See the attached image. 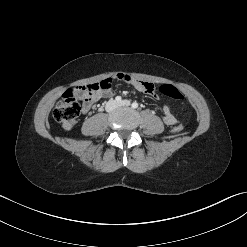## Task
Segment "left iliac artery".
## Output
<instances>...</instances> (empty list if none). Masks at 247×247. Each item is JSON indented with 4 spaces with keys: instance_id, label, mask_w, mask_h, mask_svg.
<instances>
[{
    "instance_id": "44dca946",
    "label": "left iliac artery",
    "mask_w": 247,
    "mask_h": 247,
    "mask_svg": "<svg viewBox=\"0 0 247 247\" xmlns=\"http://www.w3.org/2000/svg\"><path fill=\"white\" fill-rule=\"evenodd\" d=\"M132 107H133V108H138V103H137V102H133V103H132Z\"/></svg>"
}]
</instances>
